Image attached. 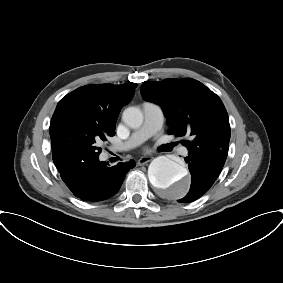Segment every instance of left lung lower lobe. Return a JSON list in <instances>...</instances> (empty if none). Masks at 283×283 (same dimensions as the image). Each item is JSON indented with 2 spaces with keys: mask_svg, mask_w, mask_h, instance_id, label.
Returning <instances> with one entry per match:
<instances>
[{
  "mask_svg": "<svg viewBox=\"0 0 283 283\" xmlns=\"http://www.w3.org/2000/svg\"><path fill=\"white\" fill-rule=\"evenodd\" d=\"M185 161L188 163L192 175L191 187L188 194L180 202H192L210 189L221 170L208 168L194 157L187 156Z\"/></svg>",
  "mask_w": 283,
  "mask_h": 283,
  "instance_id": "left-lung-lower-lobe-1",
  "label": "left lung lower lobe"
}]
</instances>
